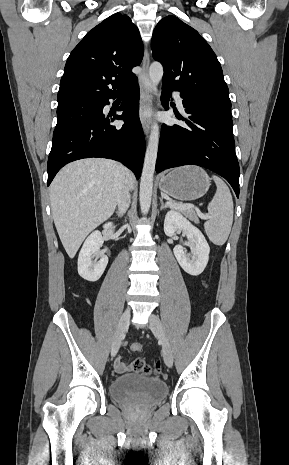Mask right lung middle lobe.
Segmentation results:
<instances>
[{
	"mask_svg": "<svg viewBox=\"0 0 289 465\" xmlns=\"http://www.w3.org/2000/svg\"><path fill=\"white\" fill-rule=\"evenodd\" d=\"M102 101L80 100L59 104L53 136L79 123L92 120L101 112Z\"/></svg>",
	"mask_w": 289,
	"mask_h": 465,
	"instance_id": "1",
	"label": "right lung middle lobe"
}]
</instances>
